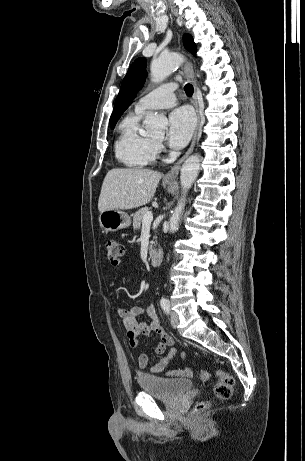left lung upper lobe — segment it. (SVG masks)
Wrapping results in <instances>:
<instances>
[{
	"label": "left lung upper lobe",
	"mask_w": 305,
	"mask_h": 461,
	"mask_svg": "<svg viewBox=\"0 0 305 461\" xmlns=\"http://www.w3.org/2000/svg\"><path fill=\"white\" fill-rule=\"evenodd\" d=\"M183 41L184 46L188 51L196 53V45L189 34H185L183 36ZM146 66V59L138 58L128 69V72L122 81L119 94L115 101L113 113L110 118L111 127L115 126L123 112L129 107L137 93L143 87L147 73Z\"/></svg>",
	"instance_id": "obj_1"
}]
</instances>
